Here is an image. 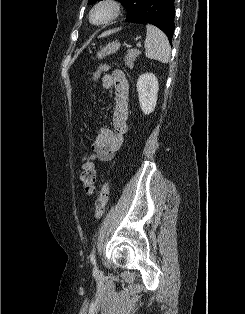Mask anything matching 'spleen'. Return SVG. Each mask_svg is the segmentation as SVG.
I'll return each instance as SVG.
<instances>
[{"label":"spleen","mask_w":245,"mask_h":314,"mask_svg":"<svg viewBox=\"0 0 245 314\" xmlns=\"http://www.w3.org/2000/svg\"><path fill=\"white\" fill-rule=\"evenodd\" d=\"M145 55L149 59L168 63L171 47L166 35L153 25H146Z\"/></svg>","instance_id":"obj_1"}]
</instances>
